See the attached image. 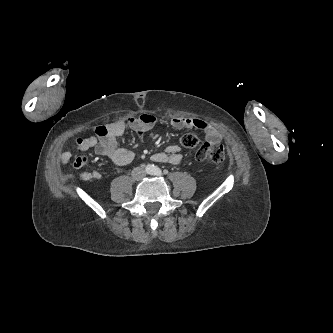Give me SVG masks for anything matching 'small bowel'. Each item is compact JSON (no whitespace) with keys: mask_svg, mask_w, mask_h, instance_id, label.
Returning <instances> with one entry per match:
<instances>
[{"mask_svg":"<svg viewBox=\"0 0 333 333\" xmlns=\"http://www.w3.org/2000/svg\"><path fill=\"white\" fill-rule=\"evenodd\" d=\"M155 124V117L150 114H142L138 117H130L126 120L116 121L105 126L107 133L105 135H90L87 137L77 138L74 149L78 151H88L94 149L95 153L100 156L110 158L117 165H127L134 159V152L120 148L117 145L116 138L123 134L126 128L143 133L151 129ZM171 125L176 129L195 128L204 132L207 141L211 144H217L221 141L222 135L218 128L198 118L174 117ZM72 158L71 151H64L60 155V161L63 164L68 163ZM152 159L156 162L180 164L182 155L178 145H170L165 152L156 153ZM87 156L76 157L73 166L76 169L82 168L87 163ZM101 173L98 171L83 172L81 180H99Z\"/></svg>","mask_w":333,"mask_h":333,"instance_id":"obj_1","label":"small bowel"}]
</instances>
